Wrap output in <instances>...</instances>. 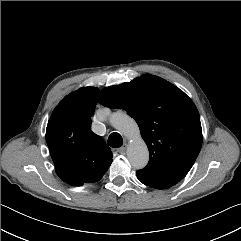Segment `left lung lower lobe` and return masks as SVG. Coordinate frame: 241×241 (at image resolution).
Masks as SVG:
<instances>
[{
	"label": "left lung lower lobe",
	"mask_w": 241,
	"mask_h": 241,
	"mask_svg": "<svg viewBox=\"0 0 241 241\" xmlns=\"http://www.w3.org/2000/svg\"><path fill=\"white\" fill-rule=\"evenodd\" d=\"M136 174L140 182L156 189H167L179 182L145 169L138 170Z\"/></svg>",
	"instance_id": "obj_1"
}]
</instances>
